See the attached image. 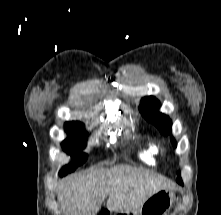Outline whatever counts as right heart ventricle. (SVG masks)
Segmentation results:
<instances>
[{
  "label": "right heart ventricle",
  "instance_id": "e07e8e85",
  "mask_svg": "<svg viewBox=\"0 0 221 215\" xmlns=\"http://www.w3.org/2000/svg\"><path fill=\"white\" fill-rule=\"evenodd\" d=\"M155 146L152 142L140 140L137 147V156L147 164L154 162Z\"/></svg>",
  "mask_w": 221,
  "mask_h": 215
}]
</instances>
